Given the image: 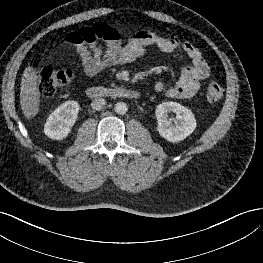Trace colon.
Masks as SVG:
<instances>
[{"instance_id":"obj_1","label":"colon","mask_w":263,"mask_h":263,"mask_svg":"<svg viewBox=\"0 0 263 263\" xmlns=\"http://www.w3.org/2000/svg\"><path fill=\"white\" fill-rule=\"evenodd\" d=\"M73 78V73L68 69H56L47 66L38 72V89L42 96L54 95L60 88L65 86ZM224 95L223 87L216 83H210L206 96L210 102L219 101Z\"/></svg>"}]
</instances>
